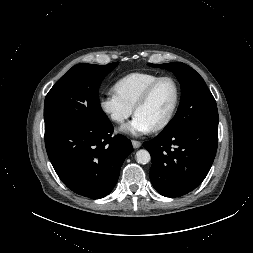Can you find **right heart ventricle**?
Returning a JSON list of instances; mask_svg holds the SVG:
<instances>
[{"instance_id":"e07e8e85","label":"right heart ventricle","mask_w":253,"mask_h":253,"mask_svg":"<svg viewBox=\"0 0 253 253\" xmlns=\"http://www.w3.org/2000/svg\"><path fill=\"white\" fill-rule=\"evenodd\" d=\"M158 77V74L151 72L129 73L115 82L114 91L127 105L134 108L144 90Z\"/></svg>"}]
</instances>
